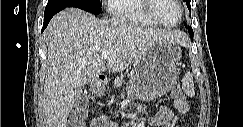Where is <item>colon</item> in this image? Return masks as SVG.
Masks as SVG:
<instances>
[{
    "instance_id": "1",
    "label": "colon",
    "mask_w": 243,
    "mask_h": 127,
    "mask_svg": "<svg viewBox=\"0 0 243 127\" xmlns=\"http://www.w3.org/2000/svg\"><path fill=\"white\" fill-rule=\"evenodd\" d=\"M172 96L174 99H178L180 101L184 100V97L181 93L179 84H175L172 90ZM87 115V108L85 104H81L77 106L71 115L70 118V126L71 127H85V119Z\"/></svg>"
}]
</instances>
